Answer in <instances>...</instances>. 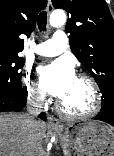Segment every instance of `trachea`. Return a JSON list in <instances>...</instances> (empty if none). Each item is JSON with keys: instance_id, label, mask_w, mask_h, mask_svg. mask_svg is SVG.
Instances as JSON below:
<instances>
[{"instance_id": "3493384b", "label": "trachea", "mask_w": 114, "mask_h": 156, "mask_svg": "<svg viewBox=\"0 0 114 156\" xmlns=\"http://www.w3.org/2000/svg\"><path fill=\"white\" fill-rule=\"evenodd\" d=\"M37 25L40 31L46 30L47 25V13L45 11L41 12L37 19Z\"/></svg>"}]
</instances>
